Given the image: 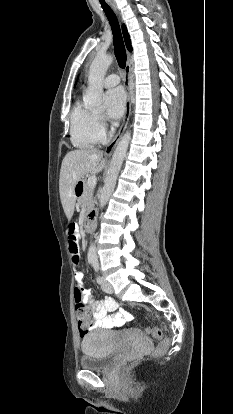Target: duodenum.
<instances>
[{"mask_svg": "<svg viewBox=\"0 0 233 414\" xmlns=\"http://www.w3.org/2000/svg\"><path fill=\"white\" fill-rule=\"evenodd\" d=\"M81 186L82 187V189H83V184H82V182H79V183H77L76 184V186ZM75 186V187H76ZM83 191V190H82ZM95 219H96V212L95 211H90L88 214H87V216H86V218H85V221H84V229L86 230V231H91L92 229H93V225H94V221H95Z\"/></svg>", "mask_w": 233, "mask_h": 414, "instance_id": "obj_1", "label": "duodenum"}]
</instances>
